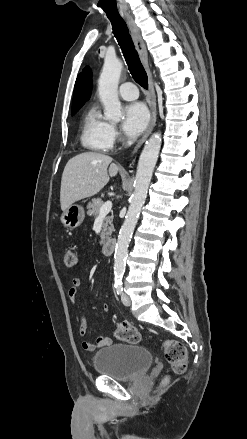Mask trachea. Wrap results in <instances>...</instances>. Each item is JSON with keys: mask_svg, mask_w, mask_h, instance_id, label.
Masks as SVG:
<instances>
[{"mask_svg": "<svg viewBox=\"0 0 247 439\" xmlns=\"http://www.w3.org/2000/svg\"><path fill=\"white\" fill-rule=\"evenodd\" d=\"M112 24L114 36L116 37L129 71L133 79L143 88H148L147 73L142 66L139 56L134 48L133 41L128 32V28L124 20L120 16H108Z\"/></svg>", "mask_w": 247, "mask_h": 439, "instance_id": "3493384b", "label": "trachea"}]
</instances>
